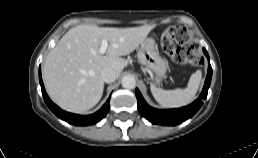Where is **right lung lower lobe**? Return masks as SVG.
Instances as JSON below:
<instances>
[{"label": "right lung lower lobe", "mask_w": 258, "mask_h": 158, "mask_svg": "<svg viewBox=\"0 0 258 158\" xmlns=\"http://www.w3.org/2000/svg\"><path fill=\"white\" fill-rule=\"evenodd\" d=\"M39 82L41 85V90H42V95L44 98L45 103L47 104L48 108L60 119L68 122L69 124L77 125V126H86V125H91L99 122L102 118L106 116V114L109 111L110 107V98L106 101V103L103 105V107L96 113L92 115H87V116H82V115H76V114H71L68 112H65L61 110L58 106H56L48 97L42 77H41V70L39 69Z\"/></svg>", "instance_id": "1"}]
</instances>
